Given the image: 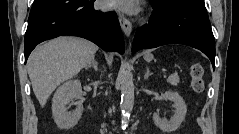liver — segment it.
<instances>
[{"label":"liver","instance_id":"liver-1","mask_svg":"<svg viewBox=\"0 0 239 134\" xmlns=\"http://www.w3.org/2000/svg\"><path fill=\"white\" fill-rule=\"evenodd\" d=\"M97 50L94 43L69 36L38 46L28 59L27 70L40 105L44 107L57 86L87 67Z\"/></svg>","mask_w":239,"mask_h":134}]
</instances>
